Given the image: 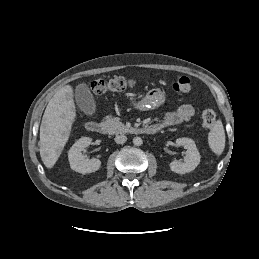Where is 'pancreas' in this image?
Here are the masks:
<instances>
[{
	"instance_id": "1",
	"label": "pancreas",
	"mask_w": 259,
	"mask_h": 259,
	"mask_svg": "<svg viewBox=\"0 0 259 259\" xmlns=\"http://www.w3.org/2000/svg\"><path fill=\"white\" fill-rule=\"evenodd\" d=\"M102 124L105 126L109 134L128 133L131 130L122 122L112 118L111 116H107Z\"/></svg>"
}]
</instances>
